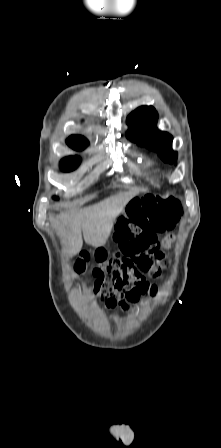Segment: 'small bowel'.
Returning <instances> with one entry per match:
<instances>
[{"label":"small bowel","instance_id":"c3829d8e","mask_svg":"<svg viewBox=\"0 0 221 448\" xmlns=\"http://www.w3.org/2000/svg\"><path fill=\"white\" fill-rule=\"evenodd\" d=\"M141 216L146 219V215L143 212H141ZM173 240V235H167L161 242L162 248L168 249L171 246ZM119 244L121 245L120 242ZM123 252L127 254V251L125 249H123ZM107 296L108 297L105 300V306L108 309L115 311L118 308L126 309L128 307L124 293L122 291L113 289L107 293Z\"/></svg>","mask_w":221,"mask_h":448}]
</instances>
